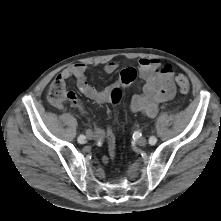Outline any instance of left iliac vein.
Returning a JSON list of instances; mask_svg holds the SVG:
<instances>
[{
	"label": "left iliac vein",
	"instance_id": "left-iliac-vein-1",
	"mask_svg": "<svg viewBox=\"0 0 221 221\" xmlns=\"http://www.w3.org/2000/svg\"><path fill=\"white\" fill-rule=\"evenodd\" d=\"M137 144H138L139 146H145V145L147 144V139L144 138V137H141V138H139V139L137 140Z\"/></svg>",
	"mask_w": 221,
	"mask_h": 221
}]
</instances>
